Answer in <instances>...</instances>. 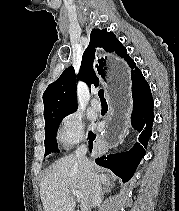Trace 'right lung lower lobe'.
Listing matches in <instances>:
<instances>
[{
  "label": "right lung lower lobe",
  "mask_w": 179,
  "mask_h": 211,
  "mask_svg": "<svg viewBox=\"0 0 179 211\" xmlns=\"http://www.w3.org/2000/svg\"><path fill=\"white\" fill-rule=\"evenodd\" d=\"M131 80L133 100L131 124L135 130L140 132L139 142L127 152L101 156L95 160L98 165L112 170L123 182L131 179L141 158L145 155V148L152 134L154 120V102L151 90L138 68L131 74ZM95 137V134L89 133L90 150L92 149V142Z\"/></svg>",
  "instance_id": "obj_1"
}]
</instances>
